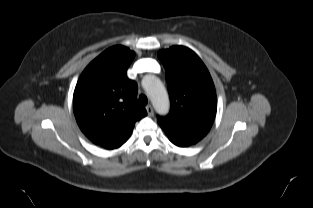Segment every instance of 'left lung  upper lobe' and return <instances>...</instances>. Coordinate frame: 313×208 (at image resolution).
<instances>
[{
  "label": "left lung upper lobe",
  "instance_id": "obj_1",
  "mask_svg": "<svg viewBox=\"0 0 313 208\" xmlns=\"http://www.w3.org/2000/svg\"><path fill=\"white\" fill-rule=\"evenodd\" d=\"M158 57L166 71L170 113L158 116L159 125L172 143L180 147L196 144L210 130L217 110L212 78L191 49L173 46Z\"/></svg>",
  "mask_w": 313,
  "mask_h": 208
}]
</instances>
